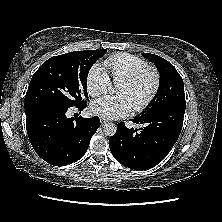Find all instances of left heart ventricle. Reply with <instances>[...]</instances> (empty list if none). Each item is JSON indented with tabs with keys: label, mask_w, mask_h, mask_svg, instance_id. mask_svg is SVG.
<instances>
[{
	"label": "left heart ventricle",
	"mask_w": 222,
	"mask_h": 222,
	"mask_svg": "<svg viewBox=\"0 0 222 222\" xmlns=\"http://www.w3.org/2000/svg\"><path fill=\"white\" fill-rule=\"evenodd\" d=\"M153 85L154 77L152 73L147 72L133 85L120 84L117 87V93L126 96L134 107L147 98Z\"/></svg>",
	"instance_id": "left-heart-ventricle-1"
}]
</instances>
